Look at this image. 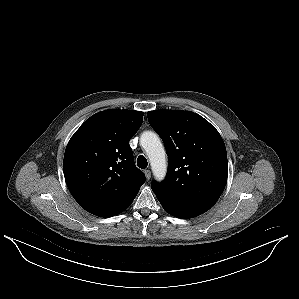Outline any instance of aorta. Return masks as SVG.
Wrapping results in <instances>:
<instances>
[{
	"instance_id": "1",
	"label": "aorta",
	"mask_w": 299,
	"mask_h": 299,
	"mask_svg": "<svg viewBox=\"0 0 299 299\" xmlns=\"http://www.w3.org/2000/svg\"><path fill=\"white\" fill-rule=\"evenodd\" d=\"M140 143L147 153L155 178L164 179L167 170L166 153L159 136L146 131L141 135Z\"/></svg>"
}]
</instances>
